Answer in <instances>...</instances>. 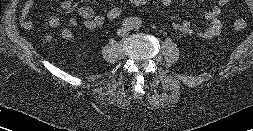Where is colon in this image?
<instances>
[{"instance_id":"obj_1","label":"colon","mask_w":253,"mask_h":131,"mask_svg":"<svg viewBox=\"0 0 253 131\" xmlns=\"http://www.w3.org/2000/svg\"><path fill=\"white\" fill-rule=\"evenodd\" d=\"M154 0H124L119 1L112 5L104 14L105 18L109 21H114L120 18L125 12L133 6L149 5L153 3ZM247 21L245 18H238L233 23V28L235 30H242L246 28Z\"/></svg>"}]
</instances>
